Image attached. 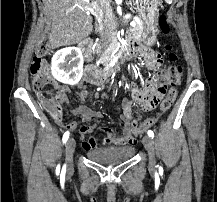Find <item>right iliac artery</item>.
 <instances>
[{"label":"right iliac artery","instance_id":"82829eb1","mask_svg":"<svg viewBox=\"0 0 217 202\" xmlns=\"http://www.w3.org/2000/svg\"><path fill=\"white\" fill-rule=\"evenodd\" d=\"M69 138V131L65 132L62 138L63 143H66Z\"/></svg>","mask_w":217,"mask_h":202}]
</instances>
